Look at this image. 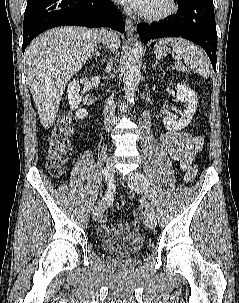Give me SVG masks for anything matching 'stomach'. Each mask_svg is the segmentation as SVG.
Here are the masks:
<instances>
[{
    "label": "stomach",
    "mask_w": 239,
    "mask_h": 303,
    "mask_svg": "<svg viewBox=\"0 0 239 303\" xmlns=\"http://www.w3.org/2000/svg\"><path fill=\"white\" fill-rule=\"evenodd\" d=\"M168 49L166 46L156 43L154 45V53L157 57L161 58L167 55Z\"/></svg>",
    "instance_id": "0dacf381"
}]
</instances>
